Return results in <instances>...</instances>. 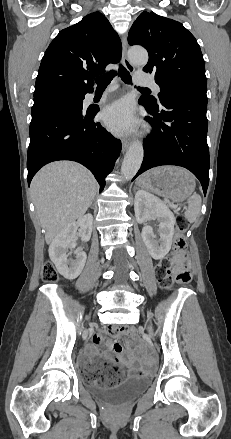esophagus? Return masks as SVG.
Segmentation results:
<instances>
[{"label": "esophagus", "mask_w": 231, "mask_h": 439, "mask_svg": "<svg viewBox=\"0 0 231 439\" xmlns=\"http://www.w3.org/2000/svg\"><path fill=\"white\" fill-rule=\"evenodd\" d=\"M127 48H128L127 39L125 36H123L122 37V62L124 64V66L127 68V70L129 72L133 73L135 71V67L129 61V59L127 57ZM129 144H130L129 139H123L122 140V150L125 151L128 148Z\"/></svg>", "instance_id": "obj_1"}]
</instances>
